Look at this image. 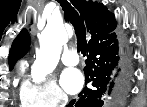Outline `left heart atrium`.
I'll return each mask as SVG.
<instances>
[{
    "label": "left heart atrium",
    "instance_id": "1",
    "mask_svg": "<svg viewBox=\"0 0 147 107\" xmlns=\"http://www.w3.org/2000/svg\"><path fill=\"white\" fill-rule=\"evenodd\" d=\"M61 82L68 93L75 94L83 86V76L77 69H67L62 75Z\"/></svg>",
    "mask_w": 147,
    "mask_h": 107
}]
</instances>
